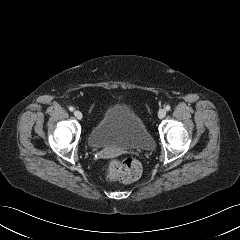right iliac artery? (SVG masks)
Masks as SVG:
<instances>
[{
  "label": "right iliac artery",
  "instance_id": "82829eb1",
  "mask_svg": "<svg viewBox=\"0 0 240 240\" xmlns=\"http://www.w3.org/2000/svg\"><path fill=\"white\" fill-rule=\"evenodd\" d=\"M69 110L72 112V111H74V108L72 106H70Z\"/></svg>",
  "mask_w": 240,
  "mask_h": 240
}]
</instances>
